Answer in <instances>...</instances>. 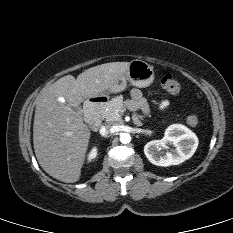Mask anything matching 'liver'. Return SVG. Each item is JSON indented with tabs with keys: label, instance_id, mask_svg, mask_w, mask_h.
<instances>
[{
	"label": "liver",
	"instance_id": "6515ba94",
	"mask_svg": "<svg viewBox=\"0 0 233 233\" xmlns=\"http://www.w3.org/2000/svg\"><path fill=\"white\" fill-rule=\"evenodd\" d=\"M130 62H111L91 67L75 79L66 75L44 87L36 98L33 144L38 163L53 178L74 183L80 179L90 130L81 109L87 98L103 95L127 71ZM64 97L61 104L57 97Z\"/></svg>",
	"mask_w": 233,
	"mask_h": 233
}]
</instances>
